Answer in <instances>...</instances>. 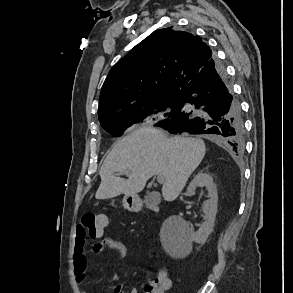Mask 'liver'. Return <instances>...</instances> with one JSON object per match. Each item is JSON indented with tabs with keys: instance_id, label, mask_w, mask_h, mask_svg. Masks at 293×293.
I'll return each mask as SVG.
<instances>
[{
	"instance_id": "liver-1",
	"label": "liver",
	"mask_w": 293,
	"mask_h": 293,
	"mask_svg": "<svg viewBox=\"0 0 293 293\" xmlns=\"http://www.w3.org/2000/svg\"><path fill=\"white\" fill-rule=\"evenodd\" d=\"M206 153L203 140L191 137L168 138L161 130L143 126L116 142L100 170L101 183L96 199L141 192L153 175L164 178V200L174 201ZM118 175H126L128 179Z\"/></svg>"
}]
</instances>
